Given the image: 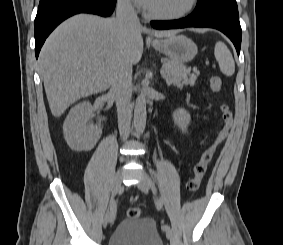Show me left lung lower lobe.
Masks as SVG:
<instances>
[{
    "mask_svg": "<svg viewBox=\"0 0 283 245\" xmlns=\"http://www.w3.org/2000/svg\"><path fill=\"white\" fill-rule=\"evenodd\" d=\"M156 29H174L185 27H209L223 32L233 42L239 55L241 47L242 30L239 21L221 16H201L190 14L186 18L171 21H152Z\"/></svg>",
    "mask_w": 283,
    "mask_h": 245,
    "instance_id": "1",
    "label": "left lung lower lobe"
}]
</instances>
